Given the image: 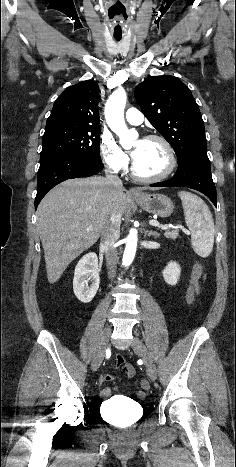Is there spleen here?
I'll return each instance as SVG.
<instances>
[{
    "mask_svg": "<svg viewBox=\"0 0 236 467\" xmlns=\"http://www.w3.org/2000/svg\"><path fill=\"white\" fill-rule=\"evenodd\" d=\"M186 224L191 232L194 251L201 257L210 255L214 243V222L211 212L204 201L190 192L181 191Z\"/></svg>",
    "mask_w": 236,
    "mask_h": 467,
    "instance_id": "obj_1",
    "label": "spleen"
}]
</instances>
